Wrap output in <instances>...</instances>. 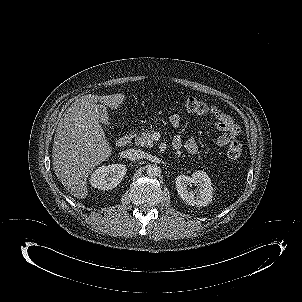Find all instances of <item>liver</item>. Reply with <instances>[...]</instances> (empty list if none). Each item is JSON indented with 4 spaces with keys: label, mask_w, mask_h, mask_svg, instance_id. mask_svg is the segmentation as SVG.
Segmentation results:
<instances>
[{
    "label": "liver",
    "mask_w": 302,
    "mask_h": 302,
    "mask_svg": "<svg viewBox=\"0 0 302 302\" xmlns=\"http://www.w3.org/2000/svg\"><path fill=\"white\" fill-rule=\"evenodd\" d=\"M122 93L87 94L72 103L60 119L54 136L52 166L60 183L77 199L88 196V177L112 155V146L100 123V106L118 109Z\"/></svg>",
    "instance_id": "1"
}]
</instances>
